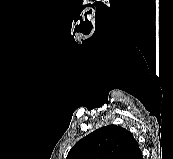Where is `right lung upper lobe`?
Here are the masks:
<instances>
[{"label":"right lung upper lobe","instance_id":"obj_1","mask_svg":"<svg viewBox=\"0 0 173 159\" xmlns=\"http://www.w3.org/2000/svg\"><path fill=\"white\" fill-rule=\"evenodd\" d=\"M66 159H143V155L128 130L109 125L79 140Z\"/></svg>","mask_w":173,"mask_h":159}]
</instances>
